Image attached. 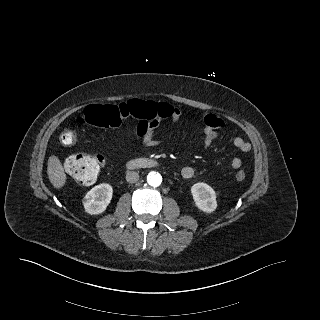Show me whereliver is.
<instances>
[{
	"mask_svg": "<svg viewBox=\"0 0 320 320\" xmlns=\"http://www.w3.org/2000/svg\"><path fill=\"white\" fill-rule=\"evenodd\" d=\"M47 173L50 182L56 189H60L66 183L67 176L61 161L55 155H51L48 159Z\"/></svg>",
	"mask_w": 320,
	"mask_h": 320,
	"instance_id": "obj_1",
	"label": "liver"
}]
</instances>
